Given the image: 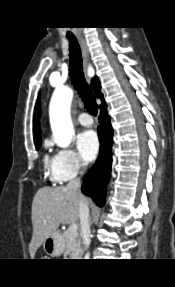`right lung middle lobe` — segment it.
<instances>
[{
    "label": "right lung middle lobe",
    "instance_id": "obj_1",
    "mask_svg": "<svg viewBox=\"0 0 175 287\" xmlns=\"http://www.w3.org/2000/svg\"><path fill=\"white\" fill-rule=\"evenodd\" d=\"M36 149H38L41 146V142L35 143Z\"/></svg>",
    "mask_w": 175,
    "mask_h": 287
}]
</instances>
